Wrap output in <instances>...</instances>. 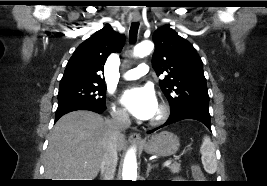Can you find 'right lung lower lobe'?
<instances>
[{
    "mask_svg": "<svg viewBox=\"0 0 267 186\" xmlns=\"http://www.w3.org/2000/svg\"><path fill=\"white\" fill-rule=\"evenodd\" d=\"M105 105L84 102V101H73V102H65L58 105V108L55 113V122L61 118L63 115L76 111V110H89L96 113H102L105 110Z\"/></svg>",
    "mask_w": 267,
    "mask_h": 186,
    "instance_id": "right-lung-lower-lobe-1",
    "label": "right lung lower lobe"
}]
</instances>
